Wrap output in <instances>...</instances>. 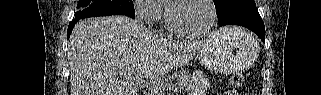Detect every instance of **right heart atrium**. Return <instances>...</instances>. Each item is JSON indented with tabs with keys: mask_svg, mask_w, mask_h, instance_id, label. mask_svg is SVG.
I'll return each instance as SVG.
<instances>
[{
	"mask_svg": "<svg viewBox=\"0 0 321 95\" xmlns=\"http://www.w3.org/2000/svg\"><path fill=\"white\" fill-rule=\"evenodd\" d=\"M133 11L136 19L148 26L155 24L162 16V8L157 0H136Z\"/></svg>",
	"mask_w": 321,
	"mask_h": 95,
	"instance_id": "d8ad5b80",
	"label": "right heart atrium"
}]
</instances>
